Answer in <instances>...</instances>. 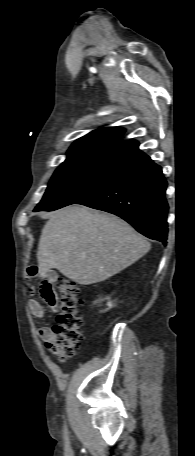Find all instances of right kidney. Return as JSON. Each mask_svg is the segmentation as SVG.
Instances as JSON below:
<instances>
[{
	"instance_id": "ca27d5eb",
	"label": "right kidney",
	"mask_w": 195,
	"mask_h": 456,
	"mask_svg": "<svg viewBox=\"0 0 195 456\" xmlns=\"http://www.w3.org/2000/svg\"><path fill=\"white\" fill-rule=\"evenodd\" d=\"M108 306H109V307H111V306H112L111 302H109V303H108Z\"/></svg>"
}]
</instances>
